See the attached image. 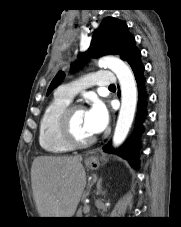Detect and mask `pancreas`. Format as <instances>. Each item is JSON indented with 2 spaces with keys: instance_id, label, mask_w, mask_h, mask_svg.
Listing matches in <instances>:
<instances>
[{
  "instance_id": "pancreas-1",
  "label": "pancreas",
  "mask_w": 181,
  "mask_h": 227,
  "mask_svg": "<svg viewBox=\"0 0 181 227\" xmlns=\"http://www.w3.org/2000/svg\"><path fill=\"white\" fill-rule=\"evenodd\" d=\"M83 212H87V210L83 207V208H80L79 210H78V217H83L82 216V213Z\"/></svg>"
}]
</instances>
